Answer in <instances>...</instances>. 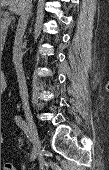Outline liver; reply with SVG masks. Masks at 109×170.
I'll use <instances>...</instances> for the list:
<instances>
[{
    "label": "liver",
    "instance_id": "1",
    "mask_svg": "<svg viewBox=\"0 0 109 170\" xmlns=\"http://www.w3.org/2000/svg\"><path fill=\"white\" fill-rule=\"evenodd\" d=\"M23 0H1V6L9 5V10L15 14H19L22 8Z\"/></svg>",
    "mask_w": 109,
    "mask_h": 170
}]
</instances>
